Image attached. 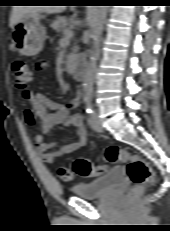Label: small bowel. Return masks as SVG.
<instances>
[{
    "instance_id": "small-bowel-1",
    "label": "small bowel",
    "mask_w": 170,
    "mask_h": 231,
    "mask_svg": "<svg viewBox=\"0 0 170 231\" xmlns=\"http://www.w3.org/2000/svg\"><path fill=\"white\" fill-rule=\"evenodd\" d=\"M32 67L34 73H43L47 70L48 63L43 59H39ZM19 93L31 105L30 108L24 110L25 122L30 126H34L39 120L41 132L35 137V145L43 162L53 164L58 157L71 154L86 145L87 132L82 117L80 114L72 112L80 105L79 96L69 103H61L45 94L32 93L28 89L19 91ZM58 124L74 128L75 138L59 149L54 150L56 144L47 143L44 135Z\"/></svg>"
}]
</instances>
